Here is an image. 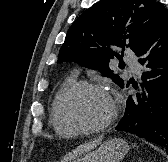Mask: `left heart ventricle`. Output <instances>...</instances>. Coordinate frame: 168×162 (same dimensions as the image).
Wrapping results in <instances>:
<instances>
[{"label": "left heart ventricle", "mask_w": 168, "mask_h": 162, "mask_svg": "<svg viewBox=\"0 0 168 162\" xmlns=\"http://www.w3.org/2000/svg\"><path fill=\"white\" fill-rule=\"evenodd\" d=\"M111 99L104 93L85 90L73 96L68 104L69 113L86 125L105 122L112 113Z\"/></svg>", "instance_id": "left-heart-ventricle-1"}]
</instances>
